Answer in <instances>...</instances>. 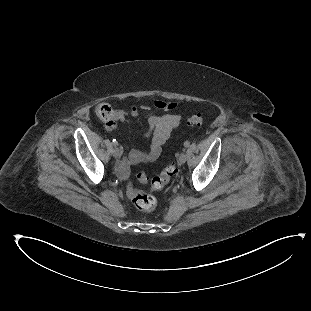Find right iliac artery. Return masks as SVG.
Masks as SVG:
<instances>
[{
  "label": "right iliac artery",
  "mask_w": 311,
  "mask_h": 311,
  "mask_svg": "<svg viewBox=\"0 0 311 311\" xmlns=\"http://www.w3.org/2000/svg\"><path fill=\"white\" fill-rule=\"evenodd\" d=\"M112 143H113L114 146H117V145H118V142L116 141V139H113V140H112Z\"/></svg>",
  "instance_id": "right-iliac-artery-1"
}]
</instances>
